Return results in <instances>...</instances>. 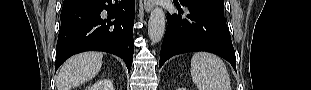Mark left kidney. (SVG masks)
I'll return each mask as SVG.
<instances>
[{
	"label": "left kidney",
	"mask_w": 311,
	"mask_h": 90,
	"mask_svg": "<svg viewBox=\"0 0 311 90\" xmlns=\"http://www.w3.org/2000/svg\"><path fill=\"white\" fill-rule=\"evenodd\" d=\"M178 90H186V88H178Z\"/></svg>",
	"instance_id": "5707ae66"
}]
</instances>
